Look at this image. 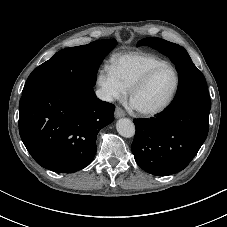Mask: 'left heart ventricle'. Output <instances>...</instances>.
<instances>
[{
	"label": "left heart ventricle",
	"mask_w": 227,
	"mask_h": 227,
	"mask_svg": "<svg viewBox=\"0 0 227 227\" xmlns=\"http://www.w3.org/2000/svg\"><path fill=\"white\" fill-rule=\"evenodd\" d=\"M174 86L175 74L170 68H165L135 94L133 104L140 109L157 108L168 99Z\"/></svg>",
	"instance_id": "1"
}]
</instances>
